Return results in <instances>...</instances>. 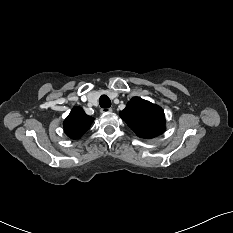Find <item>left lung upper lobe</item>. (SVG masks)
Segmentation results:
<instances>
[{
    "instance_id": "5c2ea615",
    "label": "left lung upper lobe",
    "mask_w": 233,
    "mask_h": 233,
    "mask_svg": "<svg viewBox=\"0 0 233 233\" xmlns=\"http://www.w3.org/2000/svg\"><path fill=\"white\" fill-rule=\"evenodd\" d=\"M120 117L141 138H153L165 130L164 111L158 105L133 97Z\"/></svg>"
}]
</instances>
